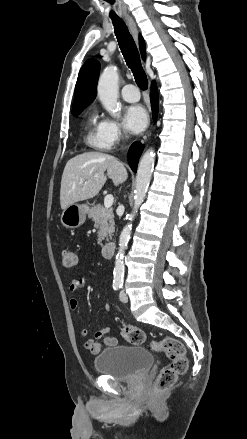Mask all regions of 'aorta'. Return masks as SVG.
Returning <instances> with one entry per match:
<instances>
[{
  "label": "aorta",
  "mask_w": 247,
  "mask_h": 439,
  "mask_svg": "<svg viewBox=\"0 0 247 439\" xmlns=\"http://www.w3.org/2000/svg\"><path fill=\"white\" fill-rule=\"evenodd\" d=\"M118 68L114 65L107 66L102 72L99 81L97 92L99 99L107 110V112L114 118H118L119 114V102H118ZM155 163V153L153 149H148L142 156L138 170L136 174V189L134 193V206L133 211L129 215L130 221L122 230L119 238V250L116 255L115 267L113 271V283L121 284L124 277V254L127 244L130 239L132 231V221L134 220L135 213L142 204L146 192L149 187L153 168Z\"/></svg>",
  "instance_id": "obj_1"
}]
</instances>
